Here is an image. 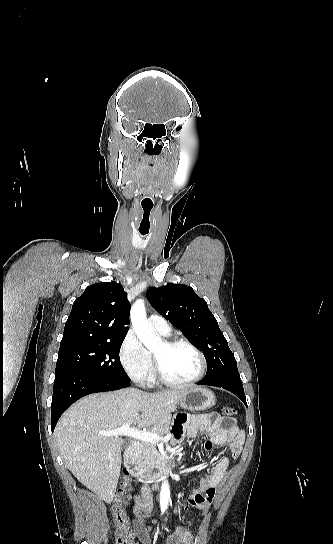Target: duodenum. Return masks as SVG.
Instances as JSON below:
<instances>
[{
  "label": "duodenum",
  "instance_id": "obj_1",
  "mask_svg": "<svg viewBox=\"0 0 333 544\" xmlns=\"http://www.w3.org/2000/svg\"><path fill=\"white\" fill-rule=\"evenodd\" d=\"M140 449L138 442H133L125 451V465L128 472L141 482H150L168 475L174 468L171 457L164 458L155 466H144L138 461L137 455Z\"/></svg>",
  "mask_w": 333,
  "mask_h": 544
}]
</instances>
